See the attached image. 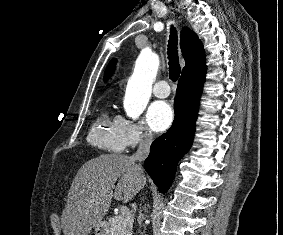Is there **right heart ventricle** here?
<instances>
[{
	"label": "right heart ventricle",
	"mask_w": 283,
	"mask_h": 235,
	"mask_svg": "<svg viewBox=\"0 0 283 235\" xmlns=\"http://www.w3.org/2000/svg\"><path fill=\"white\" fill-rule=\"evenodd\" d=\"M88 142L109 153H121L125 145L119 116L112 109L103 111L88 133Z\"/></svg>",
	"instance_id": "obj_1"
}]
</instances>
